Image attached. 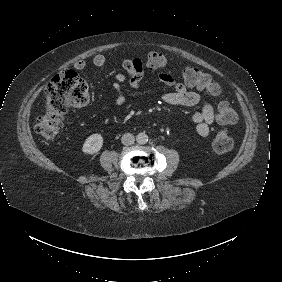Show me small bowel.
Instances as JSON below:
<instances>
[{"label":"small bowel","instance_id":"small-bowel-1","mask_svg":"<svg viewBox=\"0 0 282 282\" xmlns=\"http://www.w3.org/2000/svg\"><path fill=\"white\" fill-rule=\"evenodd\" d=\"M92 63L95 67H102L106 63V57L103 54H96L93 57ZM86 66L87 62L83 59L77 60L74 63V68L77 70H83ZM122 67L124 72L117 73L112 83V88L115 91V107H121L126 102V95L122 86L127 80L131 87L136 88L144 79L143 65L139 59H125L122 62ZM157 79L170 89V91L162 92L159 95V100L163 104L187 107L200 105V108L194 112L192 119L196 125L197 134L203 138L207 137L210 132V125L216 118L214 107L202 101L199 93L188 90L184 84L178 82L167 73H159Z\"/></svg>","mask_w":282,"mask_h":282}]
</instances>
